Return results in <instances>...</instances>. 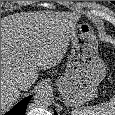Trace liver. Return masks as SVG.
<instances>
[{
	"label": "liver",
	"mask_w": 115,
	"mask_h": 115,
	"mask_svg": "<svg viewBox=\"0 0 115 115\" xmlns=\"http://www.w3.org/2000/svg\"><path fill=\"white\" fill-rule=\"evenodd\" d=\"M73 21L61 15L21 13L1 19V114L20 96L14 86L24 80L29 89L38 70L57 65L74 32Z\"/></svg>",
	"instance_id": "obj_1"
}]
</instances>
